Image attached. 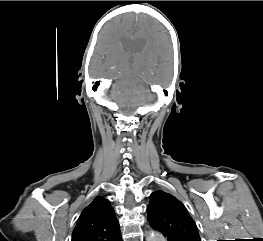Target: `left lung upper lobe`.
<instances>
[{"mask_svg": "<svg viewBox=\"0 0 263 241\" xmlns=\"http://www.w3.org/2000/svg\"><path fill=\"white\" fill-rule=\"evenodd\" d=\"M147 212V220L151 226L180 241H201L197 226L186 207L173 195L162 190L153 192Z\"/></svg>", "mask_w": 263, "mask_h": 241, "instance_id": "obj_1", "label": "left lung upper lobe"}]
</instances>
